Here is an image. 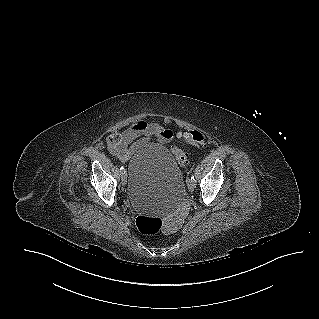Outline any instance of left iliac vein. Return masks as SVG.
I'll list each match as a JSON object with an SVG mask.
<instances>
[{"label":"left iliac vein","mask_w":319,"mask_h":319,"mask_svg":"<svg viewBox=\"0 0 319 319\" xmlns=\"http://www.w3.org/2000/svg\"><path fill=\"white\" fill-rule=\"evenodd\" d=\"M195 187H196L195 183H193V182L188 183V190L190 192H193L195 190Z\"/></svg>","instance_id":"1"}]
</instances>
